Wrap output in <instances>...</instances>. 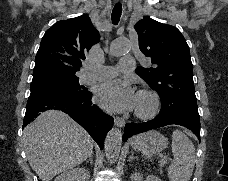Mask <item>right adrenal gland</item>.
<instances>
[{"mask_svg": "<svg viewBox=\"0 0 228 181\" xmlns=\"http://www.w3.org/2000/svg\"><path fill=\"white\" fill-rule=\"evenodd\" d=\"M94 153H92L91 157H88V159H86V161H84V163H90V165H93V157Z\"/></svg>", "mask_w": 228, "mask_h": 181, "instance_id": "2a0ac1e0", "label": "right adrenal gland"}]
</instances>
